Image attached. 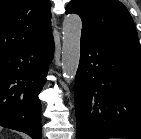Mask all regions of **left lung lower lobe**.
Returning <instances> with one entry per match:
<instances>
[{"label":"left lung lower lobe","mask_w":141,"mask_h":139,"mask_svg":"<svg viewBox=\"0 0 141 139\" xmlns=\"http://www.w3.org/2000/svg\"><path fill=\"white\" fill-rule=\"evenodd\" d=\"M77 139H141V52L81 36Z\"/></svg>","instance_id":"0a47b994"}]
</instances>
